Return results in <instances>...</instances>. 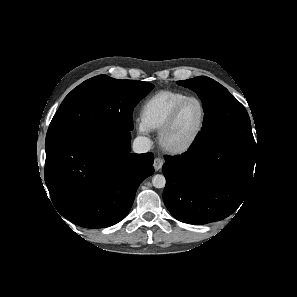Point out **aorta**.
Returning <instances> with one entry per match:
<instances>
[{"mask_svg": "<svg viewBox=\"0 0 297 297\" xmlns=\"http://www.w3.org/2000/svg\"><path fill=\"white\" fill-rule=\"evenodd\" d=\"M152 184L155 188H164L166 184V179L162 174H156L152 178Z\"/></svg>", "mask_w": 297, "mask_h": 297, "instance_id": "obj_1", "label": "aorta"}]
</instances>
